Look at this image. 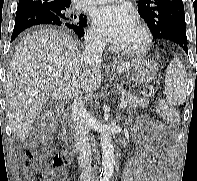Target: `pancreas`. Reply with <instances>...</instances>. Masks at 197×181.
<instances>
[{
  "label": "pancreas",
  "mask_w": 197,
  "mask_h": 181,
  "mask_svg": "<svg viewBox=\"0 0 197 181\" xmlns=\"http://www.w3.org/2000/svg\"><path fill=\"white\" fill-rule=\"evenodd\" d=\"M121 100L127 102L129 108H146L149 105V100L141 99L137 95L130 92L123 93Z\"/></svg>",
  "instance_id": "obj_1"
}]
</instances>
